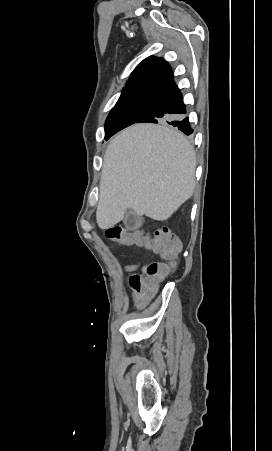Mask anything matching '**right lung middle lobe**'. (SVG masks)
<instances>
[{
	"mask_svg": "<svg viewBox=\"0 0 272 451\" xmlns=\"http://www.w3.org/2000/svg\"><path fill=\"white\" fill-rule=\"evenodd\" d=\"M152 98H135L118 101L110 112L105 124V139L135 123L149 109Z\"/></svg>",
	"mask_w": 272,
	"mask_h": 451,
	"instance_id": "1",
	"label": "right lung middle lobe"
}]
</instances>
